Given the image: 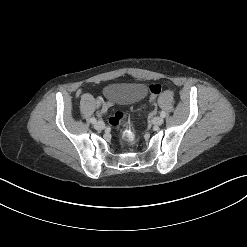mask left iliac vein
<instances>
[{"instance_id":"obj_1","label":"left iliac vein","mask_w":247,"mask_h":247,"mask_svg":"<svg viewBox=\"0 0 247 247\" xmlns=\"http://www.w3.org/2000/svg\"><path fill=\"white\" fill-rule=\"evenodd\" d=\"M153 125L160 126L163 123V117L157 116L152 120Z\"/></svg>"}]
</instances>
